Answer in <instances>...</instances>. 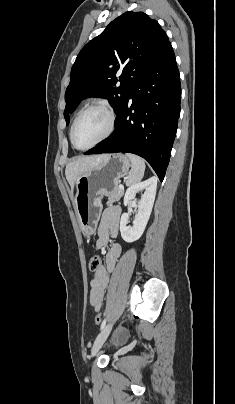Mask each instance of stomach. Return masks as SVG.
<instances>
[{
	"label": "stomach",
	"mask_w": 235,
	"mask_h": 404,
	"mask_svg": "<svg viewBox=\"0 0 235 404\" xmlns=\"http://www.w3.org/2000/svg\"><path fill=\"white\" fill-rule=\"evenodd\" d=\"M129 168L130 161L126 155L107 154L101 162L77 179L74 207L84 236L96 232L102 211L101 199L111 193L120 178L127 175Z\"/></svg>",
	"instance_id": "1"
}]
</instances>
